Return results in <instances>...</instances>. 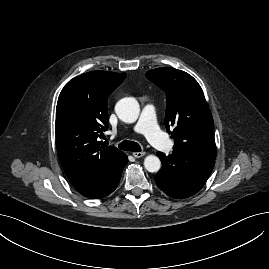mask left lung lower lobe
Returning <instances> with one entry per match:
<instances>
[{"label": "left lung lower lobe", "instance_id": "0a47b994", "mask_svg": "<svg viewBox=\"0 0 269 269\" xmlns=\"http://www.w3.org/2000/svg\"><path fill=\"white\" fill-rule=\"evenodd\" d=\"M157 156L162 168L155 176L156 184L164 193L176 199L197 193L215 165V159L175 149L168 156L161 152H157Z\"/></svg>", "mask_w": 269, "mask_h": 269}]
</instances>
